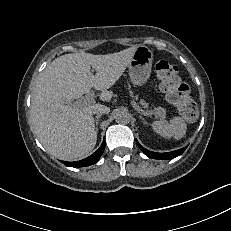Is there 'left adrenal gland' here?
<instances>
[{
	"instance_id": "a2214340",
	"label": "left adrenal gland",
	"mask_w": 231,
	"mask_h": 231,
	"mask_svg": "<svg viewBox=\"0 0 231 231\" xmlns=\"http://www.w3.org/2000/svg\"><path fill=\"white\" fill-rule=\"evenodd\" d=\"M140 119L142 120V122L146 125L147 124V122L145 121V119L143 118V116L140 114Z\"/></svg>"
}]
</instances>
